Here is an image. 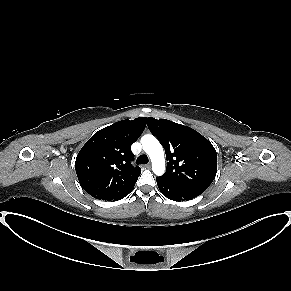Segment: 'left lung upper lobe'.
<instances>
[{
  "instance_id": "1",
  "label": "left lung upper lobe",
  "mask_w": 291,
  "mask_h": 291,
  "mask_svg": "<svg viewBox=\"0 0 291 291\" xmlns=\"http://www.w3.org/2000/svg\"><path fill=\"white\" fill-rule=\"evenodd\" d=\"M149 130L161 141L168 160L161 178L184 188L203 192L217 172L213 145L194 129L167 119L148 117Z\"/></svg>"
}]
</instances>
